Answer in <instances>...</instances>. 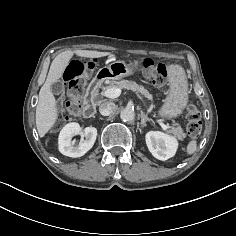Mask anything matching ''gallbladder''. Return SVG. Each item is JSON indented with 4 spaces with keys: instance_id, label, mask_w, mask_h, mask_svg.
Returning <instances> with one entry per match:
<instances>
[{
    "instance_id": "1",
    "label": "gallbladder",
    "mask_w": 236,
    "mask_h": 236,
    "mask_svg": "<svg viewBox=\"0 0 236 236\" xmlns=\"http://www.w3.org/2000/svg\"><path fill=\"white\" fill-rule=\"evenodd\" d=\"M50 89L53 94L59 95L64 89V84L62 81L58 80L50 86Z\"/></svg>"
}]
</instances>
